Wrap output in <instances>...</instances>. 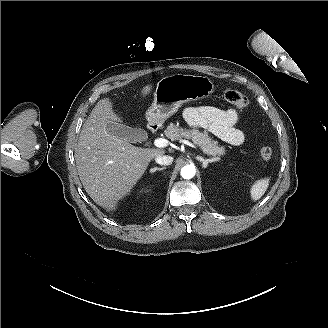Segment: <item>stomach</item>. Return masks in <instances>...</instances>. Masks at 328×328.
Segmentation results:
<instances>
[{"mask_svg": "<svg viewBox=\"0 0 328 328\" xmlns=\"http://www.w3.org/2000/svg\"><path fill=\"white\" fill-rule=\"evenodd\" d=\"M214 91L215 85L207 76L175 74L162 78L146 112L148 127L157 130L183 104L208 98Z\"/></svg>", "mask_w": 328, "mask_h": 328, "instance_id": "0dacf381", "label": "stomach"}]
</instances>
